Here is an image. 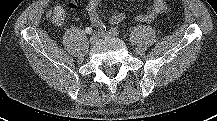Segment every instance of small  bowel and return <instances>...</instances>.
<instances>
[{
  "label": "small bowel",
  "instance_id": "c3829d8e",
  "mask_svg": "<svg viewBox=\"0 0 217 121\" xmlns=\"http://www.w3.org/2000/svg\"><path fill=\"white\" fill-rule=\"evenodd\" d=\"M102 0H88L87 6H86V10L87 13L89 15L91 24L93 27L96 28H100L103 26L102 20L98 14L97 11V7L99 5V3ZM69 6L71 8H76L77 7V3L75 1H71L69 3ZM167 11V5L165 3V0H153V5L151 7V9L146 12V13H142L136 16V19L138 21H142V22H150L152 21L156 16L165 13ZM125 19V14L122 12H115L111 18H110V22L112 24H118L121 23L123 20Z\"/></svg>",
  "mask_w": 217,
  "mask_h": 121
}]
</instances>
